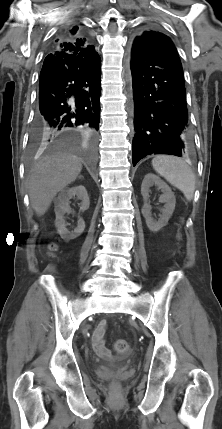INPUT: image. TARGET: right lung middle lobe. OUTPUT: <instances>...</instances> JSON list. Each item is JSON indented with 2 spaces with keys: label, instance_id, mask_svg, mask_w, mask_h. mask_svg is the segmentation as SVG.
<instances>
[{
  "label": "right lung middle lobe",
  "instance_id": "obj_1",
  "mask_svg": "<svg viewBox=\"0 0 222 429\" xmlns=\"http://www.w3.org/2000/svg\"><path fill=\"white\" fill-rule=\"evenodd\" d=\"M47 139L48 138L42 132H33L32 133V140H33L34 146H37L40 143L42 145H44L46 143Z\"/></svg>",
  "mask_w": 222,
  "mask_h": 429
}]
</instances>
